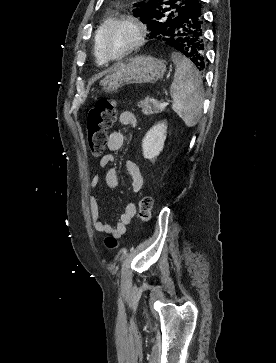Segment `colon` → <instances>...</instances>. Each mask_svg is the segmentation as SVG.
Listing matches in <instances>:
<instances>
[{
	"instance_id": "5ec220e1",
	"label": "colon",
	"mask_w": 276,
	"mask_h": 363,
	"mask_svg": "<svg viewBox=\"0 0 276 363\" xmlns=\"http://www.w3.org/2000/svg\"><path fill=\"white\" fill-rule=\"evenodd\" d=\"M117 103L110 99H100L90 108L87 114L88 144L92 155L100 157L105 151L107 132L112 127L116 115ZM152 198L144 196L138 204V214L143 222H148L152 216ZM106 245L114 248L117 240L114 237L106 239Z\"/></svg>"
}]
</instances>
